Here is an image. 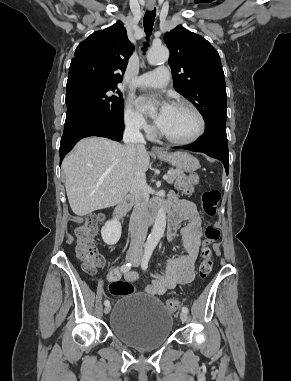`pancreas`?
<instances>
[{"mask_svg":"<svg viewBox=\"0 0 291 381\" xmlns=\"http://www.w3.org/2000/svg\"><path fill=\"white\" fill-rule=\"evenodd\" d=\"M181 173L180 170H170V172L168 173V178H167V182L169 184H172L173 181L176 179V177Z\"/></svg>","mask_w":291,"mask_h":381,"instance_id":"cf45deb5","label":"pancreas"}]
</instances>
